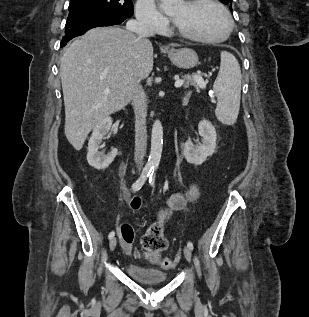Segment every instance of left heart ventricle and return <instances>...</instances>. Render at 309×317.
Masks as SVG:
<instances>
[{"label":"left heart ventricle","instance_id":"obj_1","mask_svg":"<svg viewBox=\"0 0 309 317\" xmlns=\"http://www.w3.org/2000/svg\"><path fill=\"white\" fill-rule=\"evenodd\" d=\"M170 15L181 30L201 37H220L227 28L221 11L211 4L188 7L185 2H182Z\"/></svg>","mask_w":309,"mask_h":317}]
</instances>
